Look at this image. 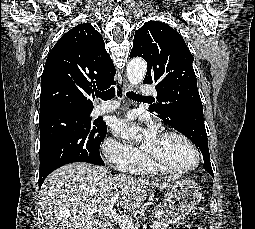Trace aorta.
<instances>
[{"label": "aorta", "instance_id": "aorta-1", "mask_svg": "<svg viewBox=\"0 0 255 229\" xmlns=\"http://www.w3.org/2000/svg\"><path fill=\"white\" fill-rule=\"evenodd\" d=\"M147 71V64L141 58L132 59L127 65V78L131 85H139Z\"/></svg>", "mask_w": 255, "mask_h": 229}]
</instances>
